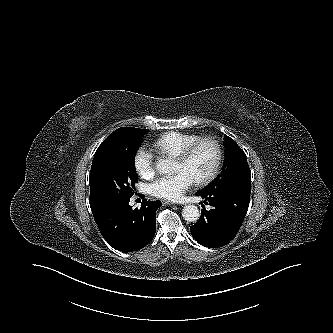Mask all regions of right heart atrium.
Masks as SVG:
<instances>
[{"label": "right heart atrium", "mask_w": 333, "mask_h": 333, "mask_svg": "<svg viewBox=\"0 0 333 333\" xmlns=\"http://www.w3.org/2000/svg\"><path fill=\"white\" fill-rule=\"evenodd\" d=\"M136 172L143 178H149L155 171L153 153L145 147H139L133 157Z\"/></svg>", "instance_id": "d8ad5b80"}]
</instances>
